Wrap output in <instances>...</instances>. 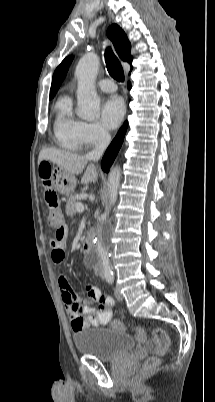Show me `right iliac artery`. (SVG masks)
Wrapping results in <instances>:
<instances>
[{"mask_svg":"<svg viewBox=\"0 0 215 402\" xmlns=\"http://www.w3.org/2000/svg\"><path fill=\"white\" fill-rule=\"evenodd\" d=\"M107 281L111 284L113 282V278H108Z\"/></svg>","mask_w":215,"mask_h":402,"instance_id":"1","label":"right iliac artery"}]
</instances>
